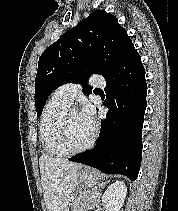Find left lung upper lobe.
Returning <instances> with one entry per match:
<instances>
[{"mask_svg": "<svg viewBox=\"0 0 178 211\" xmlns=\"http://www.w3.org/2000/svg\"><path fill=\"white\" fill-rule=\"evenodd\" d=\"M133 47L115 16L101 10L93 11L40 56L35 79L37 116L41 115L54 89L70 82L85 84L94 73L107 76ZM83 91L91 93L86 84Z\"/></svg>", "mask_w": 178, "mask_h": 211, "instance_id": "left-lung-upper-lobe-1", "label": "left lung upper lobe"}]
</instances>
